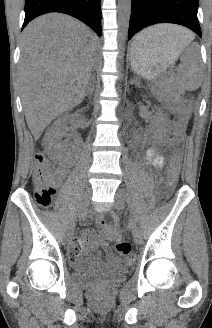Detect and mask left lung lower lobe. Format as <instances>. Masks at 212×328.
<instances>
[{"mask_svg":"<svg viewBox=\"0 0 212 328\" xmlns=\"http://www.w3.org/2000/svg\"><path fill=\"white\" fill-rule=\"evenodd\" d=\"M197 10L198 0H132L128 39L157 23L183 25L201 37Z\"/></svg>","mask_w":212,"mask_h":328,"instance_id":"obj_1","label":"left lung lower lobe"}]
</instances>
